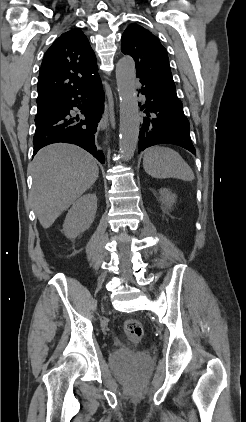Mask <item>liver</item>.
<instances>
[{"label":"liver","instance_id":"1","mask_svg":"<svg viewBox=\"0 0 246 422\" xmlns=\"http://www.w3.org/2000/svg\"><path fill=\"white\" fill-rule=\"evenodd\" d=\"M33 209L44 229L97 180L95 159L75 145L56 143L41 149L31 164Z\"/></svg>","mask_w":246,"mask_h":422}]
</instances>
